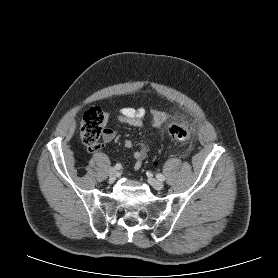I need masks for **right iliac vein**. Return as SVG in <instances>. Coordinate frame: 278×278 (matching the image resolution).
<instances>
[{
	"mask_svg": "<svg viewBox=\"0 0 278 278\" xmlns=\"http://www.w3.org/2000/svg\"><path fill=\"white\" fill-rule=\"evenodd\" d=\"M117 174H118L117 169L116 168H111L109 170V178H110V180L114 181L117 178Z\"/></svg>",
	"mask_w": 278,
	"mask_h": 278,
	"instance_id": "1",
	"label": "right iliac vein"
}]
</instances>
